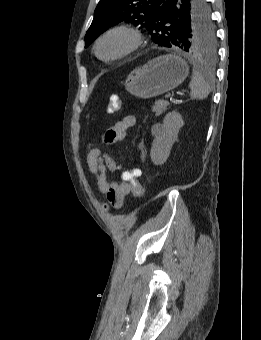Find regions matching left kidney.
Here are the masks:
<instances>
[{"instance_id": "obj_1", "label": "left kidney", "mask_w": 261, "mask_h": 340, "mask_svg": "<svg viewBox=\"0 0 261 340\" xmlns=\"http://www.w3.org/2000/svg\"><path fill=\"white\" fill-rule=\"evenodd\" d=\"M183 125L182 116L178 112L172 111L165 116L161 131L155 136L150 151L151 160L155 165H162L167 161Z\"/></svg>"}]
</instances>
